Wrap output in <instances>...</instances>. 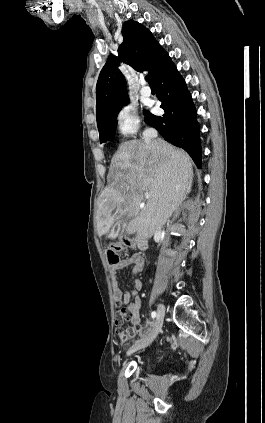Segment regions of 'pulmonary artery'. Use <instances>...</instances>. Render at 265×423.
<instances>
[{
	"label": "pulmonary artery",
	"mask_w": 265,
	"mask_h": 423,
	"mask_svg": "<svg viewBox=\"0 0 265 423\" xmlns=\"http://www.w3.org/2000/svg\"><path fill=\"white\" fill-rule=\"evenodd\" d=\"M140 92L144 96H150L151 95V89L145 84L144 81L142 82Z\"/></svg>",
	"instance_id": "pulmonary-artery-1"
}]
</instances>
